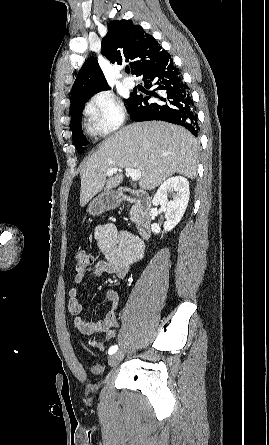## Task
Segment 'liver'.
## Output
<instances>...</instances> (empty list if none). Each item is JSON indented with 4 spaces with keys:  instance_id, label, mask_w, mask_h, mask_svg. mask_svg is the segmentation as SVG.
Listing matches in <instances>:
<instances>
[{
    "instance_id": "obj_1",
    "label": "liver",
    "mask_w": 269,
    "mask_h": 445,
    "mask_svg": "<svg viewBox=\"0 0 269 445\" xmlns=\"http://www.w3.org/2000/svg\"><path fill=\"white\" fill-rule=\"evenodd\" d=\"M197 155V140L184 128L157 121L128 125L105 139L82 165L80 205L122 183V170L107 178L111 168L140 170V188L151 190L175 173L195 178Z\"/></svg>"
}]
</instances>
